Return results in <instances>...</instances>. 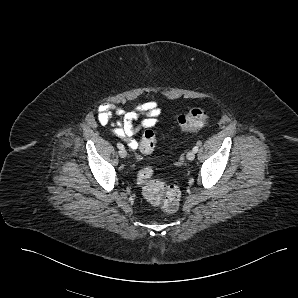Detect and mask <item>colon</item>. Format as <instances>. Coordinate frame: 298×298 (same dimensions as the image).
<instances>
[{"mask_svg": "<svg viewBox=\"0 0 298 298\" xmlns=\"http://www.w3.org/2000/svg\"><path fill=\"white\" fill-rule=\"evenodd\" d=\"M177 122L183 131H195L207 127L210 118L202 108L194 107L188 112L178 116ZM156 147L155 133L148 129L142 134L139 150L144 154H150ZM153 170L150 167H144L138 174V183L142 188L146 199L154 206L165 212H174L177 210L181 192L175 185H169L165 182L153 179Z\"/></svg>", "mask_w": 298, "mask_h": 298, "instance_id": "5ec220e1", "label": "colon"}]
</instances>
